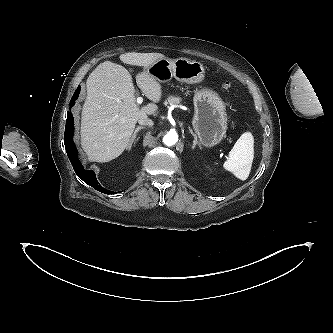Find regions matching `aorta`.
<instances>
[{
    "mask_svg": "<svg viewBox=\"0 0 333 333\" xmlns=\"http://www.w3.org/2000/svg\"><path fill=\"white\" fill-rule=\"evenodd\" d=\"M178 141V135L174 131L168 132L164 137H163V142L167 146H172L176 144Z\"/></svg>",
    "mask_w": 333,
    "mask_h": 333,
    "instance_id": "aorta-1",
    "label": "aorta"
}]
</instances>
